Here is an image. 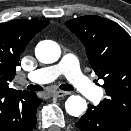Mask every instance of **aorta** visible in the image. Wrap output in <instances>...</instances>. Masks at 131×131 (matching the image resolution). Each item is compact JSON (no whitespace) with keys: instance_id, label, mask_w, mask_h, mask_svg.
Returning <instances> with one entry per match:
<instances>
[{"instance_id":"1","label":"aorta","mask_w":131,"mask_h":131,"mask_svg":"<svg viewBox=\"0 0 131 131\" xmlns=\"http://www.w3.org/2000/svg\"><path fill=\"white\" fill-rule=\"evenodd\" d=\"M61 50L57 43L45 40L38 43L35 49L36 58L42 63H54L60 58ZM87 108L86 101L77 95L70 96L65 102V109L71 116H80Z\"/></svg>"}]
</instances>
